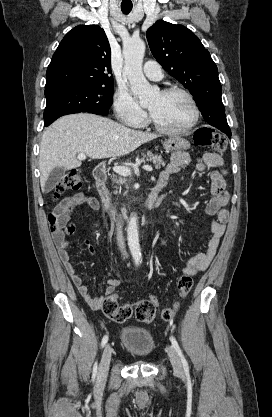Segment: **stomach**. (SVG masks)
<instances>
[{
  "instance_id": "stomach-1",
  "label": "stomach",
  "mask_w": 272,
  "mask_h": 417,
  "mask_svg": "<svg viewBox=\"0 0 272 417\" xmlns=\"http://www.w3.org/2000/svg\"><path fill=\"white\" fill-rule=\"evenodd\" d=\"M163 146L167 152H172V151L186 150L190 147V144L184 138L170 137L164 142Z\"/></svg>"
}]
</instances>
